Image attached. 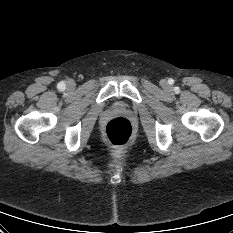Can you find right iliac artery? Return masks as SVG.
Instances as JSON below:
<instances>
[{
  "label": "right iliac artery",
  "instance_id": "82829eb1",
  "mask_svg": "<svg viewBox=\"0 0 233 233\" xmlns=\"http://www.w3.org/2000/svg\"><path fill=\"white\" fill-rule=\"evenodd\" d=\"M65 83L64 82H60L59 84H58V89L59 90H64L65 89Z\"/></svg>",
  "mask_w": 233,
  "mask_h": 233
}]
</instances>
